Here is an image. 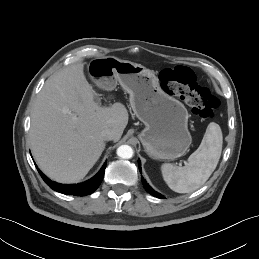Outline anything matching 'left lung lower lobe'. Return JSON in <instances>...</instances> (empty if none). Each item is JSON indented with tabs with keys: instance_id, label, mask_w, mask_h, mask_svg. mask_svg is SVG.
Instances as JSON below:
<instances>
[{
	"instance_id": "obj_1",
	"label": "left lung lower lobe",
	"mask_w": 259,
	"mask_h": 259,
	"mask_svg": "<svg viewBox=\"0 0 259 259\" xmlns=\"http://www.w3.org/2000/svg\"><path fill=\"white\" fill-rule=\"evenodd\" d=\"M139 170H140V173H141L142 171H141V163H140V161H139ZM141 180H142V183H143V185H144V187H145V190H146L147 192H149L151 195H153V196H155V197H157V198H161V199L164 198L160 193H158V192H156L154 189H152V188L149 186V184L146 183V181H145L144 178H142Z\"/></svg>"
}]
</instances>
